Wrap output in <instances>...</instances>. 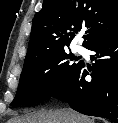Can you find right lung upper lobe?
<instances>
[{"label": "right lung upper lobe", "instance_id": "cb5924a9", "mask_svg": "<svg viewBox=\"0 0 118 123\" xmlns=\"http://www.w3.org/2000/svg\"><path fill=\"white\" fill-rule=\"evenodd\" d=\"M82 29L83 46L118 34V0H44L33 18L24 65L43 55L67 49Z\"/></svg>", "mask_w": 118, "mask_h": 123}]
</instances>
